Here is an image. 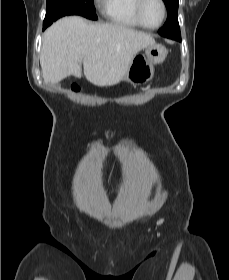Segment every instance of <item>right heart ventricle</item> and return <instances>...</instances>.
<instances>
[{
	"label": "right heart ventricle",
	"mask_w": 229,
	"mask_h": 280,
	"mask_svg": "<svg viewBox=\"0 0 229 280\" xmlns=\"http://www.w3.org/2000/svg\"><path fill=\"white\" fill-rule=\"evenodd\" d=\"M137 0H105L103 13L106 20L123 28H142L135 17L134 8Z\"/></svg>",
	"instance_id": "right-heart-ventricle-1"
}]
</instances>
